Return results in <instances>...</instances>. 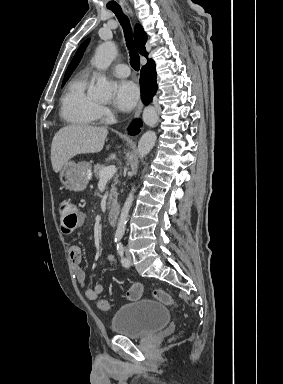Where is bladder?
<instances>
[{
    "mask_svg": "<svg viewBox=\"0 0 283 384\" xmlns=\"http://www.w3.org/2000/svg\"><path fill=\"white\" fill-rule=\"evenodd\" d=\"M168 323L169 312L165 304L142 298L119 307L112 316L111 328L118 336L144 338Z\"/></svg>",
    "mask_w": 283,
    "mask_h": 384,
    "instance_id": "31cf9c89",
    "label": "bladder"
}]
</instances>
